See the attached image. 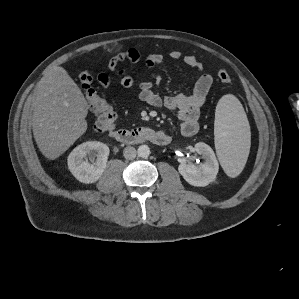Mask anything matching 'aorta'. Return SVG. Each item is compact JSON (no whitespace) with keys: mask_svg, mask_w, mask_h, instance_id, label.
<instances>
[{"mask_svg":"<svg viewBox=\"0 0 299 299\" xmlns=\"http://www.w3.org/2000/svg\"><path fill=\"white\" fill-rule=\"evenodd\" d=\"M138 156L141 158H147L150 155V148L147 145H141L137 150Z\"/></svg>","mask_w":299,"mask_h":299,"instance_id":"aorta-1","label":"aorta"}]
</instances>
